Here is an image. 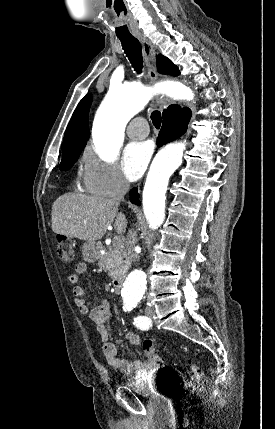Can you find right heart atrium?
Here are the masks:
<instances>
[{
    "instance_id": "obj_1",
    "label": "right heart atrium",
    "mask_w": 275,
    "mask_h": 429,
    "mask_svg": "<svg viewBox=\"0 0 275 429\" xmlns=\"http://www.w3.org/2000/svg\"><path fill=\"white\" fill-rule=\"evenodd\" d=\"M81 178L84 189L97 196L113 197L128 188L118 166L100 159L91 149L83 152Z\"/></svg>"
}]
</instances>
